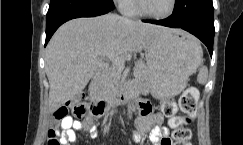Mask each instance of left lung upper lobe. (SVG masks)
I'll return each instance as SVG.
<instances>
[{
  "instance_id": "1",
  "label": "left lung upper lobe",
  "mask_w": 243,
  "mask_h": 145,
  "mask_svg": "<svg viewBox=\"0 0 243 145\" xmlns=\"http://www.w3.org/2000/svg\"><path fill=\"white\" fill-rule=\"evenodd\" d=\"M174 11L199 26L214 27L212 0H175Z\"/></svg>"
}]
</instances>
